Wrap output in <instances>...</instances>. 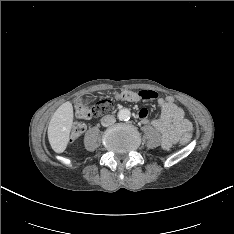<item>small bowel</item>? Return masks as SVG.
Masks as SVG:
<instances>
[{"label": "small bowel", "mask_w": 234, "mask_h": 234, "mask_svg": "<svg viewBox=\"0 0 234 234\" xmlns=\"http://www.w3.org/2000/svg\"><path fill=\"white\" fill-rule=\"evenodd\" d=\"M157 98V94L152 91H143ZM150 98V99H153ZM123 101H138L141 98L129 96L122 99ZM159 116L151 121V125L162 134V147L169 149L177 142L180 135L192 130L191 122L185 118L184 110L176 103L172 96L158 98ZM138 117L143 124H148V110L141 108L138 111Z\"/></svg>", "instance_id": "1"}]
</instances>
